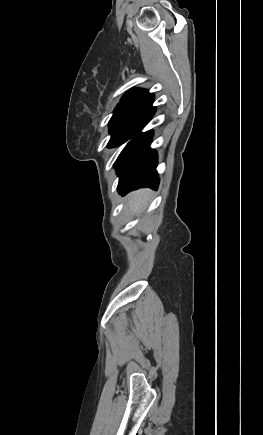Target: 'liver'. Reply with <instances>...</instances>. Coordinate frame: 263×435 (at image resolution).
Segmentation results:
<instances>
[{
    "mask_svg": "<svg viewBox=\"0 0 263 435\" xmlns=\"http://www.w3.org/2000/svg\"><path fill=\"white\" fill-rule=\"evenodd\" d=\"M149 190L141 189L131 193L128 197V204L133 212H139L143 209V205L148 197Z\"/></svg>",
    "mask_w": 263,
    "mask_h": 435,
    "instance_id": "6515ba94",
    "label": "liver"
}]
</instances>
